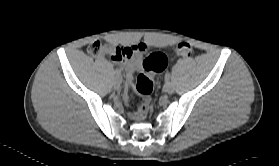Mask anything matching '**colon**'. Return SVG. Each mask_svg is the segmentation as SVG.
Wrapping results in <instances>:
<instances>
[{"mask_svg":"<svg viewBox=\"0 0 279 166\" xmlns=\"http://www.w3.org/2000/svg\"><path fill=\"white\" fill-rule=\"evenodd\" d=\"M106 51H110L117 57L129 58L134 55L136 49L133 47H119L94 42L89 45L88 53L94 57L99 56ZM174 52L180 57H190L193 53V47L187 42H180L174 47ZM166 65L165 56L162 53L145 52L142 56L143 71L138 75L136 81V91L143 97L139 106V112L144 115L148 110L147 98L153 91V74L164 70Z\"/></svg>","mask_w":279,"mask_h":166,"instance_id":"1","label":"colon"}]
</instances>
